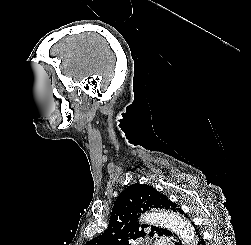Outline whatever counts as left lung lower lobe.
I'll list each match as a JSON object with an SVG mask.
<instances>
[{"label":"left lung lower lobe","instance_id":"1","mask_svg":"<svg viewBox=\"0 0 251 245\" xmlns=\"http://www.w3.org/2000/svg\"><path fill=\"white\" fill-rule=\"evenodd\" d=\"M180 214L184 215L185 217H187V215L182 211V209L179 210ZM194 232H195V244L196 245H205L204 240H203V236L201 235L199 229L196 228V226L191 223ZM167 237L170 238V241L172 242L173 245H181L179 239L177 238V236L175 234H173L172 232H170Z\"/></svg>","mask_w":251,"mask_h":245}]
</instances>
